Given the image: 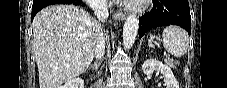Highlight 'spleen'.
Wrapping results in <instances>:
<instances>
[{
    "label": "spleen",
    "mask_w": 227,
    "mask_h": 88,
    "mask_svg": "<svg viewBox=\"0 0 227 88\" xmlns=\"http://www.w3.org/2000/svg\"><path fill=\"white\" fill-rule=\"evenodd\" d=\"M161 41L165 49L175 57H181L187 53L189 47L188 33L178 26L165 27L162 33V38L150 35L148 45L151 48L155 47L157 41Z\"/></svg>",
    "instance_id": "obj_1"
}]
</instances>
